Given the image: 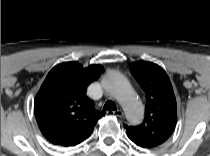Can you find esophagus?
I'll use <instances>...</instances> for the list:
<instances>
[{
  "mask_svg": "<svg viewBox=\"0 0 210 156\" xmlns=\"http://www.w3.org/2000/svg\"><path fill=\"white\" fill-rule=\"evenodd\" d=\"M110 111L111 110H107V113L110 112ZM112 112L116 113V115L119 116V117H123V115H124V113H123V111L121 109H117V111H113L112 110Z\"/></svg>",
  "mask_w": 210,
  "mask_h": 156,
  "instance_id": "obj_1",
  "label": "esophagus"
}]
</instances>
